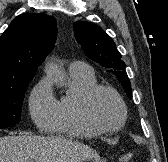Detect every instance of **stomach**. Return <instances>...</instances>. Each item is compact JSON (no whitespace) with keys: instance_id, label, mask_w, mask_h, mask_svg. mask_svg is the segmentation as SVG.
<instances>
[{"instance_id":"0dacf381","label":"stomach","mask_w":168,"mask_h":162,"mask_svg":"<svg viewBox=\"0 0 168 162\" xmlns=\"http://www.w3.org/2000/svg\"><path fill=\"white\" fill-rule=\"evenodd\" d=\"M90 162H106L105 160H101L100 158L98 159H91Z\"/></svg>"}]
</instances>
